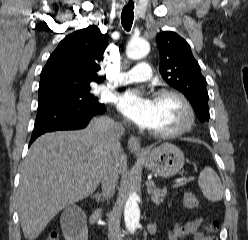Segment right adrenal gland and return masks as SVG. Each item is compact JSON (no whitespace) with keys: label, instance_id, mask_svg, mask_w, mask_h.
Masks as SVG:
<instances>
[{"label":"right adrenal gland","instance_id":"obj_1","mask_svg":"<svg viewBox=\"0 0 248 240\" xmlns=\"http://www.w3.org/2000/svg\"><path fill=\"white\" fill-rule=\"evenodd\" d=\"M92 197L96 200L97 203L103 201L102 195H101L100 193H96V194L93 195Z\"/></svg>","mask_w":248,"mask_h":240}]
</instances>
